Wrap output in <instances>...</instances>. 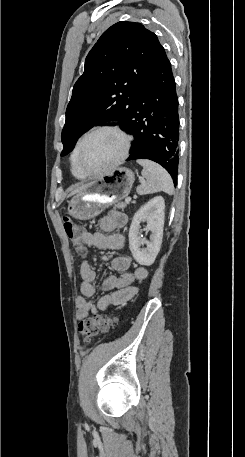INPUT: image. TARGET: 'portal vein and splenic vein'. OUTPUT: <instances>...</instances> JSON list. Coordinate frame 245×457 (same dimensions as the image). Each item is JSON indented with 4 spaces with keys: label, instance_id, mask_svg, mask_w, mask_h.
I'll return each mask as SVG.
<instances>
[{
    "label": "portal vein and splenic vein",
    "instance_id": "18ae733b",
    "mask_svg": "<svg viewBox=\"0 0 245 457\" xmlns=\"http://www.w3.org/2000/svg\"><path fill=\"white\" fill-rule=\"evenodd\" d=\"M130 200H131V196H126L125 202H130Z\"/></svg>",
    "mask_w": 245,
    "mask_h": 457
}]
</instances>
